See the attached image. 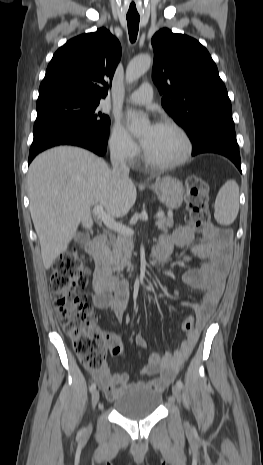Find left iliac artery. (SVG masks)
<instances>
[{
	"instance_id": "left-iliac-artery-1",
	"label": "left iliac artery",
	"mask_w": 263,
	"mask_h": 465,
	"mask_svg": "<svg viewBox=\"0 0 263 465\" xmlns=\"http://www.w3.org/2000/svg\"><path fill=\"white\" fill-rule=\"evenodd\" d=\"M177 385L179 386L180 389L183 388V383H182L181 380H178V381H177Z\"/></svg>"
}]
</instances>
